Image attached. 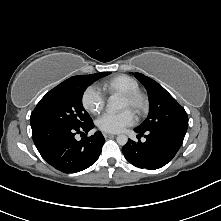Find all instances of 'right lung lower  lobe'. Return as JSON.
Instances as JSON below:
<instances>
[{"instance_id": "right-lung-lower-lobe-1", "label": "right lung lower lobe", "mask_w": 221, "mask_h": 221, "mask_svg": "<svg viewBox=\"0 0 221 221\" xmlns=\"http://www.w3.org/2000/svg\"><path fill=\"white\" fill-rule=\"evenodd\" d=\"M92 121L83 126L45 125L32 129V137L41 156L54 168L64 173H76L94 164L102 151L105 139L100 131L80 141L75 135L88 132ZM83 134V133H82Z\"/></svg>"}]
</instances>
